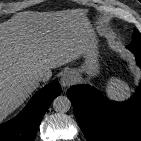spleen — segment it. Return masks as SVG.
<instances>
[{
	"instance_id": "spleen-1",
	"label": "spleen",
	"mask_w": 141,
	"mask_h": 141,
	"mask_svg": "<svg viewBox=\"0 0 141 141\" xmlns=\"http://www.w3.org/2000/svg\"><path fill=\"white\" fill-rule=\"evenodd\" d=\"M106 94L110 99L124 100L130 95V87L119 78H111L106 83Z\"/></svg>"
}]
</instances>
